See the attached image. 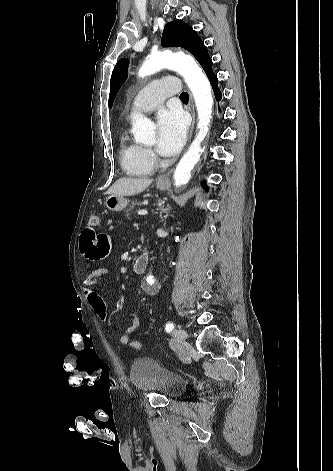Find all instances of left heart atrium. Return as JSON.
<instances>
[{
  "label": "left heart atrium",
  "instance_id": "obj_1",
  "mask_svg": "<svg viewBox=\"0 0 333 471\" xmlns=\"http://www.w3.org/2000/svg\"><path fill=\"white\" fill-rule=\"evenodd\" d=\"M157 150L161 155H176L187 135V121L178 110H162L157 116Z\"/></svg>",
  "mask_w": 333,
  "mask_h": 471
}]
</instances>
